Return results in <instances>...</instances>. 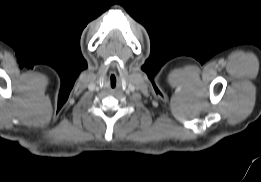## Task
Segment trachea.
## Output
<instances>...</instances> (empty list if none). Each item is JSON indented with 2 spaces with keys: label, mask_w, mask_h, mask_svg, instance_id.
Here are the masks:
<instances>
[{
  "label": "trachea",
  "mask_w": 261,
  "mask_h": 182,
  "mask_svg": "<svg viewBox=\"0 0 261 182\" xmlns=\"http://www.w3.org/2000/svg\"><path fill=\"white\" fill-rule=\"evenodd\" d=\"M111 85H115V81H113V82L111 83Z\"/></svg>",
  "instance_id": "1"
}]
</instances>
